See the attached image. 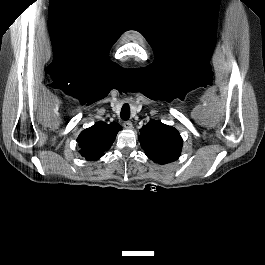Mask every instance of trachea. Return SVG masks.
<instances>
[{"instance_id": "trachea-1", "label": "trachea", "mask_w": 265, "mask_h": 265, "mask_svg": "<svg viewBox=\"0 0 265 265\" xmlns=\"http://www.w3.org/2000/svg\"><path fill=\"white\" fill-rule=\"evenodd\" d=\"M120 116L124 121H127L130 118V107L127 103L122 106Z\"/></svg>"}]
</instances>
